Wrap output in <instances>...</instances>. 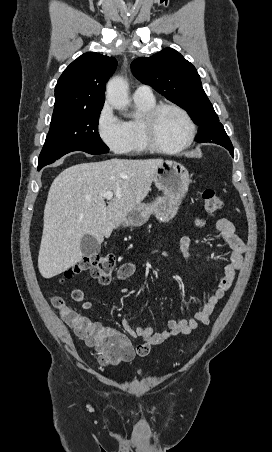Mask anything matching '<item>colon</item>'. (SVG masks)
Masks as SVG:
<instances>
[{
  "label": "colon",
  "instance_id": "obj_1",
  "mask_svg": "<svg viewBox=\"0 0 272 452\" xmlns=\"http://www.w3.org/2000/svg\"><path fill=\"white\" fill-rule=\"evenodd\" d=\"M203 207L207 214L214 215L219 212L223 206L222 199L212 189H207L202 193ZM115 268V258L112 255L94 254L85 257L74 268L70 269L68 274H77L83 270H89L90 276L100 284L109 283L111 275ZM53 307L60 313H70L71 308L65 300L57 295L50 297ZM98 349L100 351V362L104 365H118L129 360L130 349L122 345L121 342L111 336H103L98 340ZM139 352H146V347L137 348Z\"/></svg>",
  "mask_w": 272,
  "mask_h": 452
}]
</instances>
